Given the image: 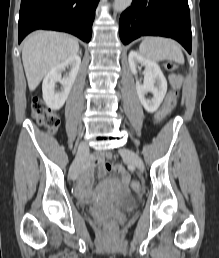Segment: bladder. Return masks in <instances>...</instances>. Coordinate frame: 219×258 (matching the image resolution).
I'll list each match as a JSON object with an SVG mask.
<instances>
[{
  "mask_svg": "<svg viewBox=\"0 0 219 258\" xmlns=\"http://www.w3.org/2000/svg\"><path fill=\"white\" fill-rule=\"evenodd\" d=\"M115 205L123 211H130L138 206V199L130 195H125L117 200Z\"/></svg>",
  "mask_w": 219,
  "mask_h": 258,
  "instance_id": "bladder-1",
  "label": "bladder"
}]
</instances>
